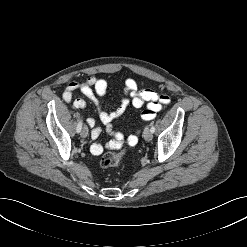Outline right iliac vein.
Segmentation results:
<instances>
[{
	"mask_svg": "<svg viewBox=\"0 0 247 247\" xmlns=\"http://www.w3.org/2000/svg\"><path fill=\"white\" fill-rule=\"evenodd\" d=\"M80 135H81L82 138H86L88 136V128H87V126H84L82 128Z\"/></svg>",
	"mask_w": 247,
	"mask_h": 247,
	"instance_id": "right-iliac-vein-1",
	"label": "right iliac vein"
}]
</instances>
